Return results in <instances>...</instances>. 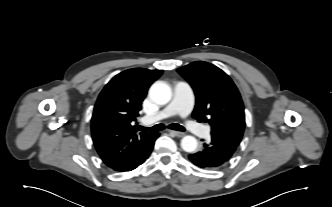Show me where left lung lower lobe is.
Returning a JSON list of instances; mask_svg holds the SVG:
<instances>
[{
	"instance_id": "left-lung-lower-lobe-1",
	"label": "left lung lower lobe",
	"mask_w": 332,
	"mask_h": 207,
	"mask_svg": "<svg viewBox=\"0 0 332 207\" xmlns=\"http://www.w3.org/2000/svg\"><path fill=\"white\" fill-rule=\"evenodd\" d=\"M236 147L212 138L204 142L200 151L190 154L189 160L199 168L211 170L223 166L232 157Z\"/></svg>"
}]
</instances>
